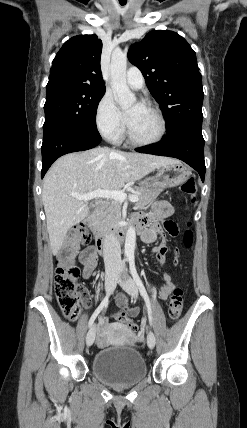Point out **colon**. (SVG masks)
<instances>
[{
	"label": "colon",
	"instance_id": "colon-1",
	"mask_svg": "<svg viewBox=\"0 0 247 428\" xmlns=\"http://www.w3.org/2000/svg\"><path fill=\"white\" fill-rule=\"evenodd\" d=\"M181 190L188 195L192 202L196 199L197 183L194 178H189L185 181ZM172 233L176 232V227L173 223L168 225ZM91 241V235L87 227L83 224L75 226L70 234V243L66 245L58 254L56 259L55 271V294L58 305L63 315L71 320H76L80 315V298L84 295L85 291L79 283L80 269L75 260V253L78 245H87ZM194 235L190 228H188L183 235V247L188 250L192 247ZM178 258L184 257V251H177ZM136 308L118 309L115 312V321L124 325V328L136 333L139 330L138 325L133 324L135 317L142 314L141 304H136ZM183 309V291L180 288L173 290L168 308V315L170 320H177ZM130 346H135V341H130Z\"/></svg>",
	"mask_w": 247,
	"mask_h": 428
}]
</instances>
